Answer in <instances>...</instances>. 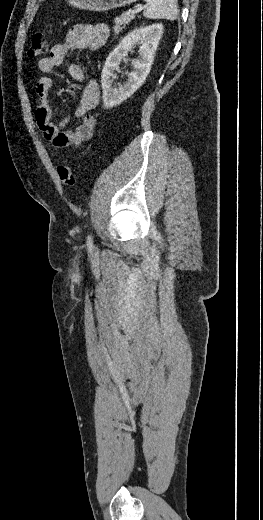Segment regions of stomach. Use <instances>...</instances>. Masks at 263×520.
Returning <instances> with one entry per match:
<instances>
[{"mask_svg":"<svg viewBox=\"0 0 263 520\" xmlns=\"http://www.w3.org/2000/svg\"><path fill=\"white\" fill-rule=\"evenodd\" d=\"M69 5L96 12H106L125 5L135 3L137 0H67Z\"/></svg>","mask_w":263,"mask_h":520,"instance_id":"0dacf381","label":"stomach"}]
</instances>
